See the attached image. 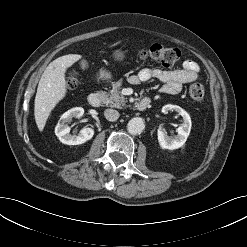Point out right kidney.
<instances>
[{"label": "right kidney", "instance_id": "1", "mask_svg": "<svg viewBox=\"0 0 247 247\" xmlns=\"http://www.w3.org/2000/svg\"><path fill=\"white\" fill-rule=\"evenodd\" d=\"M84 114L82 107H75L65 112L59 119L58 124L55 127V134L59 140L67 145H79L90 140L94 135L92 128H84L78 135H71L70 127L66 124L72 118H80Z\"/></svg>", "mask_w": 247, "mask_h": 247}]
</instances>
